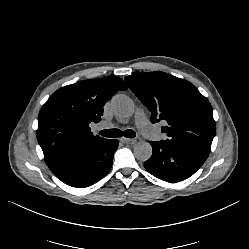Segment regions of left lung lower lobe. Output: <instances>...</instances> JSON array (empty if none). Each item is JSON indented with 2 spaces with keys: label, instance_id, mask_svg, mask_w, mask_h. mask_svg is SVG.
<instances>
[{
  "label": "left lung lower lobe",
  "instance_id": "obj_1",
  "mask_svg": "<svg viewBox=\"0 0 249 249\" xmlns=\"http://www.w3.org/2000/svg\"><path fill=\"white\" fill-rule=\"evenodd\" d=\"M152 156L144 163L146 170L155 177L168 182H179L193 175L209 154L163 141H151Z\"/></svg>",
  "mask_w": 249,
  "mask_h": 249
}]
</instances>
